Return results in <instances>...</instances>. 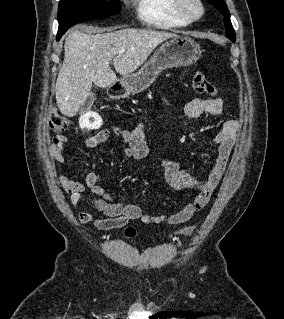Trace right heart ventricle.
I'll return each mask as SVG.
<instances>
[{"instance_id":"right-heart-ventricle-1","label":"right heart ventricle","mask_w":284,"mask_h":319,"mask_svg":"<svg viewBox=\"0 0 284 319\" xmlns=\"http://www.w3.org/2000/svg\"><path fill=\"white\" fill-rule=\"evenodd\" d=\"M133 3L138 19L146 26L172 29L190 24L178 13L175 0H133Z\"/></svg>"}]
</instances>
